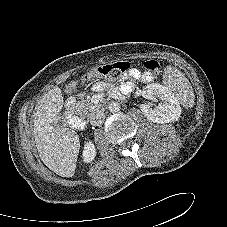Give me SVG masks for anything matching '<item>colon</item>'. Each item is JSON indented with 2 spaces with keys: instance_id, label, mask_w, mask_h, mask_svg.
Segmentation results:
<instances>
[{
  "instance_id": "colon-1",
  "label": "colon",
  "mask_w": 227,
  "mask_h": 227,
  "mask_svg": "<svg viewBox=\"0 0 227 227\" xmlns=\"http://www.w3.org/2000/svg\"><path fill=\"white\" fill-rule=\"evenodd\" d=\"M129 64L127 62H117L96 68L94 71L83 76L82 83L88 82L95 77L117 78L127 71ZM144 77L150 79L161 72L160 64L155 60H147L143 64Z\"/></svg>"
}]
</instances>
